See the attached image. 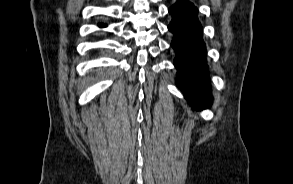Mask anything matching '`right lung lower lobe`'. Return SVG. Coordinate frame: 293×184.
Masks as SVG:
<instances>
[{
	"instance_id": "obj_1",
	"label": "right lung lower lobe",
	"mask_w": 293,
	"mask_h": 184,
	"mask_svg": "<svg viewBox=\"0 0 293 184\" xmlns=\"http://www.w3.org/2000/svg\"><path fill=\"white\" fill-rule=\"evenodd\" d=\"M98 26H99V27H104V26H106V25L103 24V23H99Z\"/></svg>"
}]
</instances>
